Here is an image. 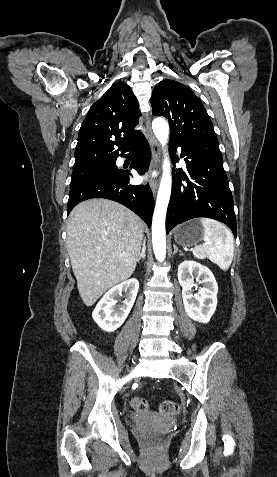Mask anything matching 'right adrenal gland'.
Returning <instances> with one entry per match:
<instances>
[{"mask_svg":"<svg viewBox=\"0 0 277 477\" xmlns=\"http://www.w3.org/2000/svg\"><path fill=\"white\" fill-rule=\"evenodd\" d=\"M145 252H146V241L144 239L143 241V245H142V250H141V253L139 254V257L137 259V262H139L141 259H144L145 258Z\"/></svg>","mask_w":277,"mask_h":477,"instance_id":"right-adrenal-gland-1","label":"right adrenal gland"}]
</instances>
